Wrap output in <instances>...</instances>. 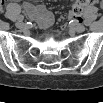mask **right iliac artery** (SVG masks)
<instances>
[{
    "mask_svg": "<svg viewBox=\"0 0 103 103\" xmlns=\"http://www.w3.org/2000/svg\"><path fill=\"white\" fill-rule=\"evenodd\" d=\"M18 20H19V21L24 20V16H23V15H20V16L18 17Z\"/></svg>",
    "mask_w": 103,
    "mask_h": 103,
    "instance_id": "1",
    "label": "right iliac artery"
}]
</instances>
